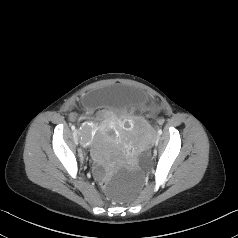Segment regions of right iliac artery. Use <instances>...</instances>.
Segmentation results:
<instances>
[{
    "instance_id": "obj_1",
    "label": "right iliac artery",
    "mask_w": 238,
    "mask_h": 238,
    "mask_svg": "<svg viewBox=\"0 0 238 238\" xmlns=\"http://www.w3.org/2000/svg\"><path fill=\"white\" fill-rule=\"evenodd\" d=\"M71 129H72V130H75V126H74V125H72V126H71Z\"/></svg>"
}]
</instances>
